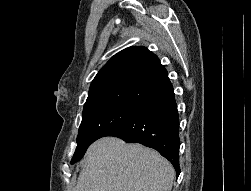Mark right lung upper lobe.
Wrapping results in <instances>:
<instances>
[{
	"label": "right lung upper lobe",
	"instance_id": "1",
	"mask_svg": "<svg viewBox=\"0 0 251 191\" xmlns=\"http://www.w3.org/2000/svg\"><path fill=\"white\" fill-rule=\"evenodd\" d=\"M171 88L156 55L142 46L129 47L114 55L95 76L84 110L107 103L142 108Z\"/></svg>",
	"mask_w": 251,
	"mask_h": 191
}]
</instances>
